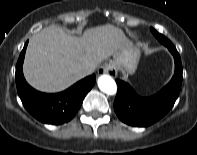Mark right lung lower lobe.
Listing matches in <instances>:
<instances>
[{
	"label": "right lung lower lobe",
	"mask_w": 197,
	"mask_h": 155,
	"mask_svg": "<svg viewBox=\"0 0 197 155\" xmlns=\"http://www.w3.org/2000/svg\"><path fill=\"white\" fill-rule=\"evenodd\" d=\"M27 43L25 44L17 65H16V85L18 95L26 110L36 119L47 124H62L70 121L80 108L84 97L95 84V74L88 76L67 90L47 94L36 91L30 87L23 76V61Z\"/></svg>",
	"instance_id": "98d812e1"
}]
</instances>
